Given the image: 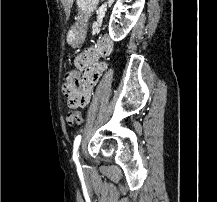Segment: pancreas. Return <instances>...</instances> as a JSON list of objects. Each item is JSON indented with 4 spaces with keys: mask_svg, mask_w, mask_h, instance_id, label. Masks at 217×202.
Returning <instances> with one entry per match:
<instances>
[{
    "mask_svg": "<svg viewBox=\"0 0 217 202\" xmlns=\"http://www.w3.org/2000/svg\"><path fill=\"white\" fill-rule=\"evenodd\" d=\"M94 35H101V30H94Z\"/></svg>",
    "mask_w": 217,
    "mask_h": 202,
    "instance_id": "obj_1",
    "label": "pancreas"
}]
</instances>
